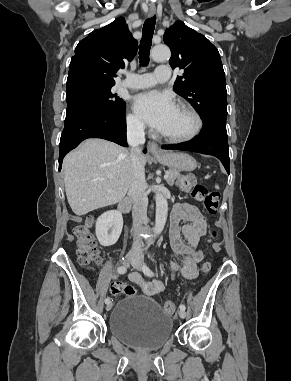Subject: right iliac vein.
<instances>
[{"label":"right iliac vein","instance_id":"63e3f726","mask_svg":"<svg viewBox=\"0 0 291 381\" xmlns=\"http://www.w3.org/2000/svg\"><path fill=\"white\" fill-rule=\"evenodd\" d=\"M136 260V256L134 254H127L123 259V265L128 266L132 262ZM113 304L111 302L107 303L106 310L110 311L112 309Z\"/></svg>","mask_w":291,"mask_h":381}]
</instances>
